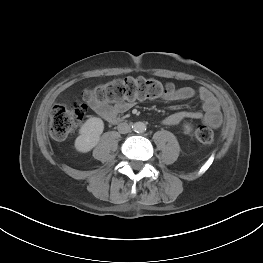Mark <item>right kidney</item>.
I'll list each match as a JSON object with an SVG mask.
<instances>
[{
  "label": "right kidney",
  "mask_w": 263,
  "mask_h": 263,
  "mask_svg": "<svg viewBox=\"0 0 263 263\" xmlns=\"http://www.w3.org/2000/svg\"><path fill=\"white\" fill-rule=\"evenodd\" d=\"M104 130V123L100 118L91 117L80 128V135L75 140V147L79 152L92 150L99 142Z\"/></svg>",
  "instance_id": "right-kidney-1"
}]
</instances>
